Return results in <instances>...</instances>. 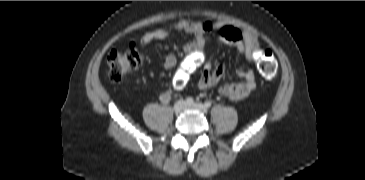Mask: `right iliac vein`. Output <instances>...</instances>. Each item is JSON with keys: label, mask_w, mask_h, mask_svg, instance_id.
I'll return each instance as SVG.
<instances>
[{"label": "right iliac vein", "mask_w": 365, "mask_h": 180, "mask_svg": "<svg viewBox=\"0 0 365 180\" xmlns=\"http://www.w3.org/2000/svg\"><path fill=\"white\" fill-rule=\"evenodd\" d=\"M185 108H186V103L183 100L177 101L173 107L176 113L182 112Z\"/></svg>", "instance_id": "right-iliac-vein-1"}]
</instances>
